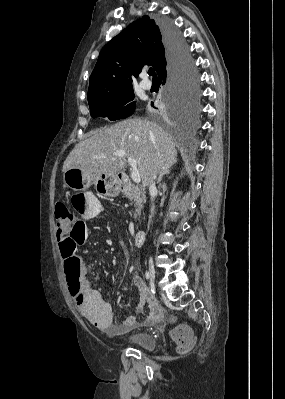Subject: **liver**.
<instances>
[{
    "instance_id": "liver-1",
    "label": "liver",
    "mask_w": 285,
    "mask_h": 399,
    "mask_svg": "<svg viewBox=\"0 0 285 399\" xmlns=\"http://www.w3.org/2000/svg\"><path fill=\"white\" fill-rule=\"evenodd\" d=\"M119 150L125 152L123 157L114 155ZM129 157L137 163L143 186H148L162 170L176 163V143L151 121L127 119L77 144L64 161L63 171L79 168L91 177L113 176L125 168Z\"/></svg>"
}]
</instances>
